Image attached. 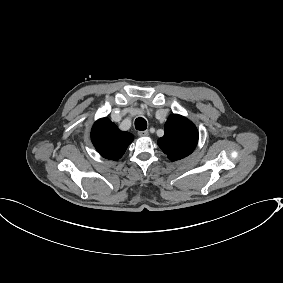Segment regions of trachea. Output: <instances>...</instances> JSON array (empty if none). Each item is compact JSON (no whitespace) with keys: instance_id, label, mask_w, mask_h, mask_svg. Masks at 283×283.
<instances>
[{"instance_id":"obj_1","label":"trachea","mask_w":283,"mask_h":283,"mask_svg":"<svg viewBox=\"0 0 283 283\" xmlns=\"http://www.w3.org/2000/svg\"><path fill=\"white\" fill-rule=\"evenodd\" d=\"M135 128L139 131H144L147 128V122L144 118H137L135 120Z\"/></svg>"}]
</instances>
